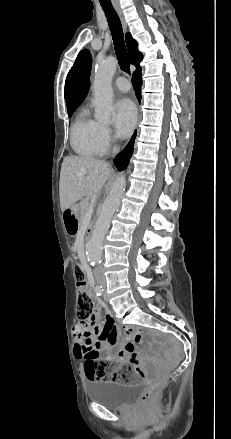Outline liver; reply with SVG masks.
Here are the masks:
<instances>
[{
    "label": "liver",
    "instance_id": "obj_1",
    "mask_svg": "<svg viewBox=\"0 0 231 439\" xmlns=\"http://www.w3.org/2000/svg\"><path fill=\"white\" fill-rule=\"evenodd\" d=\"M112 173L103 160L79 156L64 158L59 182L61 210L65 211L84 196L97 194Z\"/></svg>",
    "mask_w": 231,
    "mask_h": 439
}]
</instances>
